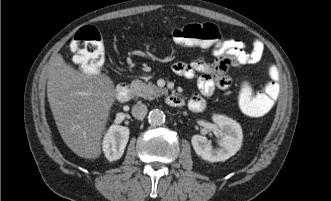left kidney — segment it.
Listing matches in <instances>:
<instances>
[{
  "label": "left kidney",
  "instance_id": "left-kidney-1",
  "mask_svg": "<svg viewBox=\"0 0 331 201\" xmlns=\"http://www.w3.org/2000/svg\"><path fill=\"white\" fill-rule=\"evenodd\" d=\"M213 121L220 131V148L214 149L205 136L193 135L192 146L198 156L209 162L225 161L236 154L243 139L241 126L223 115H213Z\"/></svg>",
  "mask_w": 331,
  "mask_h": 201
}]
</instances>
